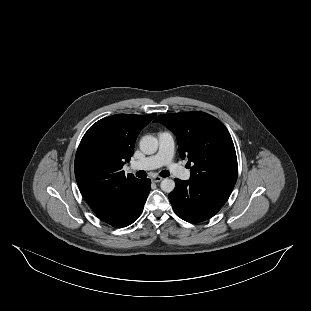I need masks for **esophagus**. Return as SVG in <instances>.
Wrapping results in <instances>:
<instances>
[{
	"label": "esophagus",
	"instance_id": "1",
	"mask_svg": "<svg viewBox=\"0 0 311 311\" xmlns=\"http://www.w3.org/2000/svg\"><path fill=\"white\" fill-rule=\"evenodd\" d=\"M162 180H163V178L160 177V176H154V177L152 178V181L155 182V183L160 182V181H162Z\"/></svg>",
	"mask_w": 311,
	"mask_h": 311
}]
</instances>
